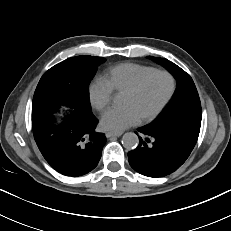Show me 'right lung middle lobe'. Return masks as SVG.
<instances>
[{
    "label": "right lung middle lobe",
    "mask_w": 231,
    "mask_h": 231,
    "mask_svg": "<svg viewBox=\"0 0 231 231\" xmlns=\"http://www.w3.org/2000/svg\"><path fill=\"white\" fill-rule=\"evenodd\" d=\"M105 61L96 56L68 58L44 73L34 93L32 117L52 113L66 105L73 114L90 116L87 87L96 67Z\"/></svg>",
    "instance_id": "dd1d6c3e"
}]
</instances>
